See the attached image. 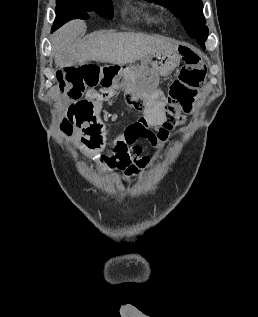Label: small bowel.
Wrapping results in <instances>:
<instances>
[{"mask_svg": "<svg viewBox=\"0 0 258 317\" xmlns=\"http://www.w3.org/2000/svg\"><path fill=\"white\" fill-rule=\"evenodd\" d=\"M66 115L74 119L75 138L82 151L104 169L116 170L125 177L137 176L150 166V158L142 154L139 139L152 146L164 147L168 130L160 128L153 131L154 122L141 118L124 129L117 128L110 115L105 114L100 105L88 98L73 102ZM112 136V153L102 156L109 136Z\"/></svg>", "mask_w": 258, "mask_h": 317, "instance_id": "c3829d8e", "label": "small bowel"}]
</instances>
